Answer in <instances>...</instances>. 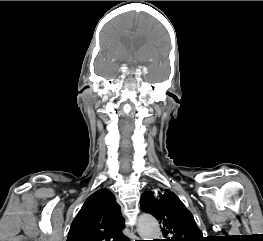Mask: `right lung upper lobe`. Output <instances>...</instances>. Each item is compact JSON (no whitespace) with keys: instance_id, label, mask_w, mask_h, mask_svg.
<instances>
[{"instance_id":"right-lung-upper-lobe-1","label":"right lung upper lobe","mask_w":263,"mask_h":241,"mask_svg":"<svg viewBox=\"0 0 263 241\" xmlns=\"http://www.w3.org/2000/svg\"><path fill=\"white\" fill-rule=\"evenodd\" d=\"M124 218L113 193L100 189L90 195L73 220L67 241H129Z\"/></svg>"}]
</instances>
